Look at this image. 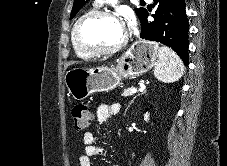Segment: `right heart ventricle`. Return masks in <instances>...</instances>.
<instances>
[{"label":"right heart ventricle","instance_id":"1","mask_svg":"<svg viewBox=\"0 0 227 166\" xmlns=\"http://www.w3.org/2000/svg\"><path fill=\"white\" fill-rule=\"evenodd\" d=\"M91 11H92V10H91ZM91 11H89V12H91ZM85 14H87V13H85ZM85 14H84V15H85ZM84 15H82V16H84ZM82 16H81V17H82ZM81 17H79V19H80ZM79 19H78V20H79ZM72 35H73V30L71 31V42H72V47H73V50H74L75 54H76L77 56L81 57V58H89V57H90L89 55H86V54L80 52V51L76 48V46H75L74 43H73Z\"/></svg>","mask_w":227,"mask_h":166}]
</instances>
